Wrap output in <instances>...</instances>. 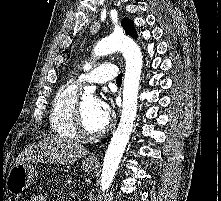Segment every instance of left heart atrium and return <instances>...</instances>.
Listing matches in <instances>:
<instances>
[{
  "mask_svg": "<svg viewBox=\"0 0 221 201\" xmlns=\"http://www.w3.org/2000/svg\"><path fill=\"white\" fill-rule=\"evenodd\" d=\"M97 106H98L100 114L108 122L111 116V112H112L110 106L104 100H97Z\"/></svg>",
  "mask_w": 221,
  "mask_h": 201,
  "instance_id": "obj_1",
  "label": "left heart atrium"
}]
</instances>
